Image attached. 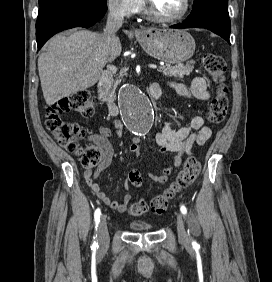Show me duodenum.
<instances>
[{"label": "duodenum", "instance_id": "duodenum-1", "mask_svg": "<svg viewBox=\"0 0 272 282\" xmlns=\"http://www.w3.org/2000/svg\"><path fill=\"white\" fill-rule=\"evenodd\" d=\"M113 78V69H106L103 71L97 86L98 99L105 104L108 113L111 116L119 115V108L116 102L111 98L109 92V85ZM148 91L153 100H158L161 97V87L156 82H151Z\"/></svg>", "mask_w": 272, "mask_h": 282}]
</instances>
